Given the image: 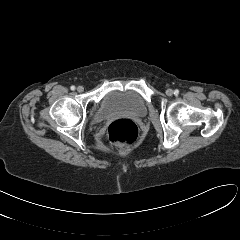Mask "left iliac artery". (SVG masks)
Instances as JSON below:
<instances>
[{
  "mask_svg": "<svg viewBox=\"0 0 240 240\" xmlns=\"http://www.w3.org/2000/svg\"><path fill=\"white\" fill-rule=\"evenodd\" d=\"M174 94H175V95H178V94H179V90L176 89V90L174 91Z\"/></svg>",
  "mask_w": 240,
  "mask_h": 240,
  "instance_id": "left-iliac-artery-1",
  "label": "left iliac artery"
}]
</instances>
